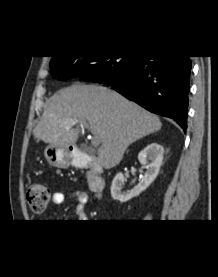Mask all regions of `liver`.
<instances>
[{"label": "liver", "instance_id": "1", "mask_svg": "<svg viewBox=\"0 0 218 277\" xmlns=\"http://www.w3.org/2000/svg\"><path fill=\"white\" fill-rule=\"evenodd\" d=\"M71 121L77 123L66 124ZM84 122L100 141L98 161L107 169L120 163L130 144L162 126L157 116L107 87L72 85L50 99L33 135L50 146L67 148L78 140V124Z\"/></svg>", "mask_w": 218, "mask_h": 277}]
</instances>
